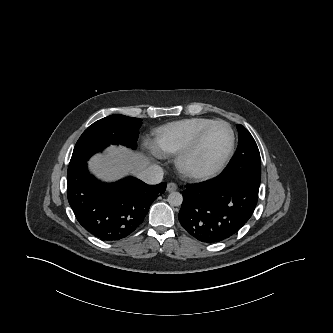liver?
I'll return each mask as SVG.
<instances>
[{"instance_id":"1","label":"liver","mask_w":333,"mask_h":333,"mask_svg":"<svg viewBox=\"0 0 333 333\" xmlns=\"http://www.w3.org/2000/svg\"><path fill=\"white\" fill-rule=\"evenodd\" d=\"M90 167L101 178L113 180L123 173L133 170V173L146 167V162L137 155L121 148L112 147L105 157H94L90 162Z\"/></svg>"}]
</instances>
